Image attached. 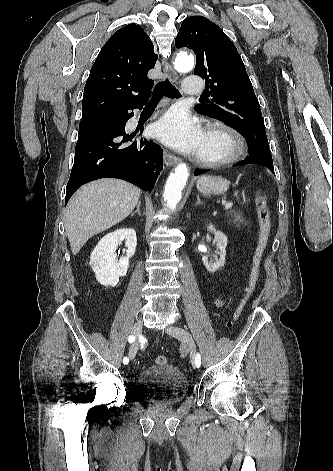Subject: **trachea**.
Returning <instances> with one entry per match:
<instances>
[{
    "instance_id": "1",
    "label": "trachea",
    "mask_w": 333,
    "mask_h": 471,
    "mask_svg": "<svg viewBox=\"0 0 333 471\" xmlns=\"http://www.w3.org/2000/svg\"><path fill=\"white\" fill-rule=\"evenodd\" d=\"M163 96L169 98L181 97L179 91L171 84L168 79L156 84L150 102H158Z\"/></svg>"
}]
</instances>
